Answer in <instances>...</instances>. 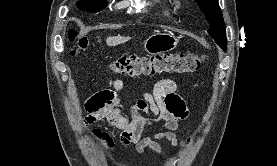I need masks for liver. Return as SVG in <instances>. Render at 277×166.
Instances as JSON below:
<instances>
[{
    "instance_id": "liver-1",
    "label": "liver",
    "mask_w": 277,
    "mask_h": 166,
    "mask_svg": "<svg viewBox=\"0 0 277 166\" xmlns=\"http://www.w3.org/2000/svg\"><path fill=\"white\" fill-rule=\"evenodd\" d=\"M128 40H130V37H122V36L118 35V36H113V37H107L106 44L108 46H116V45L125 43Z\"/></svg>"
}]
</instances>
